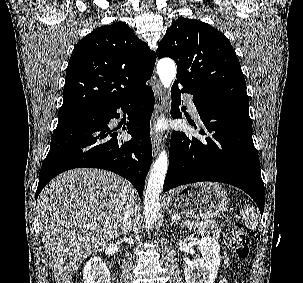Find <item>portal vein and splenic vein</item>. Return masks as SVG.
I'll return each instance as SVG.
<instances>
[{"instance_id":"18ae733b","label":"portal vein and splenic vein","mask_w":303,"mask_h":283,"mask_svg":"<svg viewBox=\"0 0 303 283\" xmlns=\"http://www.w3.org/2000/svg\"><path fill=\"white\" fill-rule=\"evenodd\" d=\"M207 222H209V221L201 222V223H198V224L203 225V224H207Z\"/></svg>"}]
</instances>
